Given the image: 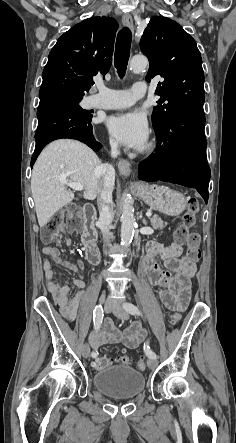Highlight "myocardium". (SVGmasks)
Here are the masks:
<instances>
[{
    "instance_id": "f54148a6",
    "label": "myocardium",
    "mask_w": 236,
    "mask_h": 443,
    "mask_svg": "<svg viewBox=\"0 0 236 443\" xmlns=\"http://www.w3.org/2000/svg\"><path fill=\"white\" fill-rule=\"evenodd\" d=\"M154 149V144H151L150 146H149V150L151 151V150H153Z\"/></svg>"
}]
</instances>
